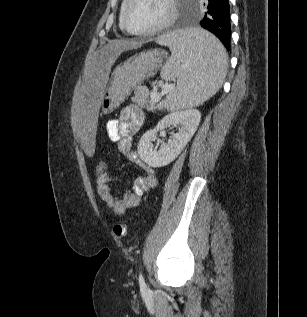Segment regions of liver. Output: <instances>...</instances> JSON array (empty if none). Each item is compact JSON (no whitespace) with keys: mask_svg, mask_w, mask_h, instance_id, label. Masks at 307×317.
<instances>
[{"mask_svg":"<svg viewBox=\"0 0 307 317\" xmlns=\"http://www.w3.org/2000/svg\"><path fill=\"white\" fill-rule=\"evenodd\" d=\"M141 46L142 43L136 41H111L86 66L82 88L74 105L72 122L73 128L81 136L82 154H95L96 149L99 148V143L96 142L97 136L93 135L97 127V108L102 104L107 78L112 76L110 69L113 63L122 52Z\"/></svg>","mask_w":307,"mask_h":317,"instance_id":"obj_1","label":"liver"}]
</instances>
